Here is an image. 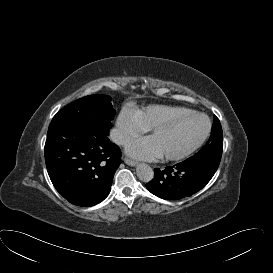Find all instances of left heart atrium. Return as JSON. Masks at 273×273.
<instances>
[{"label": "left heart atrium", "mask_w": 273, "mask_h": 273, "mask_svg": "<svg viewBox=\"0 0 273 273\" xmlns=\"http://www.w3.org/2000/svg\"><path fill=\"white\" fill-rule=\"evenodd\" d=\"M133 155L139 158L155 161L160 158L161 154L157 148L152 146L148 140H139L132 145Z\"/></svg>", "instance_id": "1"}]
</instances>
